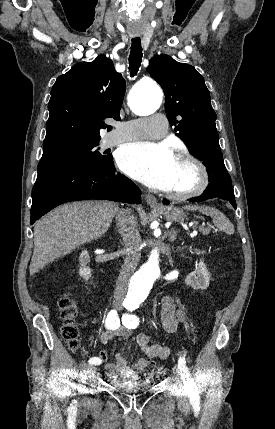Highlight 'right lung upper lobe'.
I'll list each match as a JSON object with an SVG mask.
<instances>
[{
	"label": "right lung upper lobe",
	"mask_w": 275,
	"mask_h": 429,
	"mask_svg": "<svg viewBox=\"0 0 275 429\" xmlns=\"http://www.w3.org/2000/svg\"><path fill=\"white\" fill-rule=\"evenodd\" d=\"M126 83L104 55L75 64L51 90L43 156L78 144L99 142L103 121L120 119Z\"/></svg>",
	"instance_id": "right-lung-upper-lobe-1"
}]
</instances>
